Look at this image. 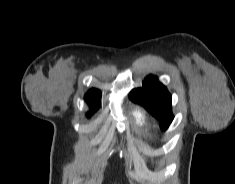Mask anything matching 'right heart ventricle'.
I'll use <instances>...</instances> for the list:
<instances>
[{
    "label": "right heart ventricle",
    "mask_w": 235,
    "mask_h": 184,
    "mask_svg": "<svg viewBox=\"0 0 235 184\" xmlns=\"http://www.w3.org/2000/svg\"><path fill=\"white\" fill-rule=\"evenodd\" d=\"M130 121L135 131L150 138L153 134V124L149 115L140 107L130 112Z\"/></svg>",
    "instance_id": "e07e8e85"
}]
</instances>
